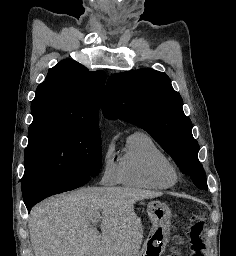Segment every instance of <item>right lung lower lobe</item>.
<instances>
[{"instance_id":"1","label":"right lung lower lobe","mask_w":236,"mask_h":256,"mask_svg":"<svg viewBox=\"0 0 236 256\" xmlns=\"http://www.w3.org/2000/svg\"><path fill=\"white\" fill-rule=\"evenodd\" d=\"M87 178H78L71 181L46 186L40 188L27 196L23 197L24 203L28 210H30L36 203L54 194L70 191L78 188L88 182Z\"/></svg>"}]
</instances>
